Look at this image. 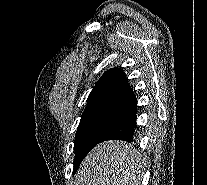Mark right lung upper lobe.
I'll return each mask as SVG.
<instances>
[{
  "label": "right lung upper lobe",
  "instance_id": "cb5924a9",
  "mask_svg": "<svg viewBox=\"0 0 207 185\" xmlns=\"http://www.w3.org/2000/svg\"><path fill=\"white\" fill-rule=\"evenodd\" d=\"M136 102L124 72L119 68H112L102 75L90 92L85 111L108 109L125 112Z\"/></svg>",
  "mask_w": 207,
  "mask_h": 185
}]
</instances>
